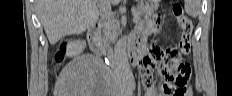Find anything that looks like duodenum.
I'll return each mask as SVG.
<instances>
[{
	"label": "duodenum",
	"mask_w": 232,
	"mask_h": 96,
	"mask_svg": "<svg viewBox=\"0 0 232 96\" xmlns=\"http://www.w3.org/2000/svg\"><path fill=\"white\" fill-rule=\"evenodd\" d=\"M99 31H100V25L99 24H94L93 26L90 27L87 38H88V43H89V48L97 56H102L103 54V49H102V44L99 39ZM128 54L131 63L134 66L138 65V58H139V50L136 47V45H131L130 48L128 49Z\"/></svg>",
	"instance_id": "410a0bca"
}]
</instances>
